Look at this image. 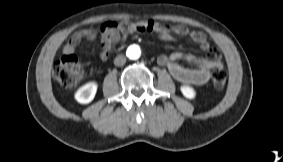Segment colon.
Instances as JSON below:
<instances>
[{
  "instance_id": "colon-1",
  "label": "colon",
  "mask_w": 283,
  "mask_h": 162,
  "mask_svg": "<svg viewBox=\"0 0 283 162\" xmlns=\"http://www.w3.org/2000/svg\"><path fill=\"white\" fill-rule=\"evenodd\" d=\"M53 74L63 87L72 88L81 78L82 66L75 55H63L56 61L53 68ZM226 80L227 72L223 67L214 70L212 84L216 90H222L226 84Z\"/></svg>"
}]
</instances>
